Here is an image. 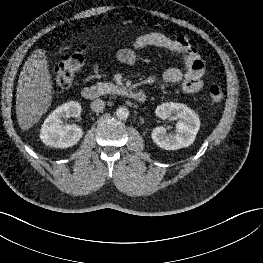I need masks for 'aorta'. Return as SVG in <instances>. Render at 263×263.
Returning a JSON list of instances; mask_svg holds the SVG:
<instances>
[{
    "mask_svg": "<svg viewBox=\"0 0 263 263\" xmlns=\"http://www.w3.org/2000/svg\"><path fill=\"white\" fill-rule=\"evenodd\" d=\"M116 116L120 120H126L129 116V110L125 106L116 109Z\"/></svg>",
    "mask_w": 263,
    "mask_h": 263,
    "instance_id": "obj_1",
    "label": "aorta"
}]
</instances>
